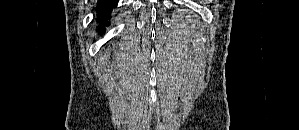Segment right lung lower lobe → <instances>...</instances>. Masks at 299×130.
I'll return each instance as SVG.
<instances>
[{
    "instance_id": "98d812e1",
    "label": "right lung lower lobe",
    "mask_w": 299,
    "mask_h": 130,
    "mask_svg": "<svg viewBox=\"0 0 299 130\" xmlns=\"http://www.w3.org/2000/svg\"><path fill=\"white\" fill-rule=\"evenodd\" d=\"M117 5L116 0H99L97 3V22L99 33H104V25H109L107 19L110 18L113 7Z\"/></svg>"
}]
</instances>
